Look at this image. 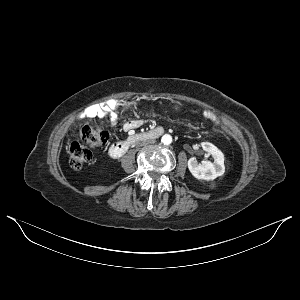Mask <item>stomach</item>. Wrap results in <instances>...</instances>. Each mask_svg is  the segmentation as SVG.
<instances>
[{"instance_id": "obj_1", "label": "stomach", "mask_w": 300, "mask_h": 300, "mask_svg": "<svg viewBox=\"0 0 300 300\" xmlns=\"http://www.w3.org/2000/svg\"><path fill=\"white\" fill-rule=\"evenodd\" d=\"M123 106H126V103H124ZM175 109H176V110H179V107L176 106Z\"/></svg>"}]
</instances>
